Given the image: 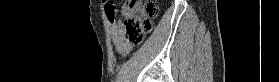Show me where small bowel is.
I'll return each mask as SVG.
<instances>
[{"instance_id": "c3829d8e", "label": "small bowel", "mask_w": 279, "mask_h": 82, "mask_svg": "<svg viewBox=\"0 0 279 82\" xmlns=\"http://www.w3.org/2000/svg\"><path fill=\"white\" fill-rule=\"evenodd\" d=\"M106 18L108 28L110 30L111 40L117 52L122 53L130 49V46L125 42L124 31L121 28V23L118 22L115 9L113 6H106Z\"/></svg>"}]
</instances>
